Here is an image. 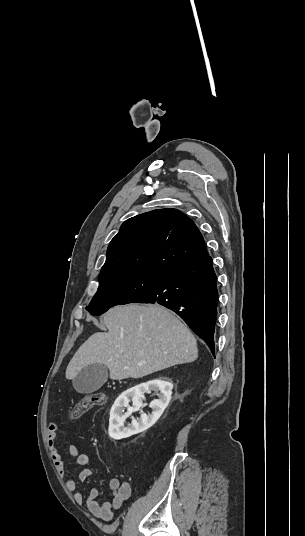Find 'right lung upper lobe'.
Masks as SVG:
<instances>
[{"label": "right lung upper lobe", "instance_id": "right-lung-upper-lobe-1", "mask_svg": "<svg viewBox=\"0 0 305 536\" xmlns=\"http://www.w3.org/2000/svg\"><path fill=\"white\" fill-rule=\"evenodd\" d=\"M208 256L195 223L176 209H159L125 221L111 240L99 280L144 272L169 274Z\"/></svg>", "mask_w": 305, "mask_h": 536}]
</instances>
